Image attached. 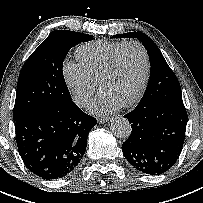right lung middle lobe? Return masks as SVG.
<instances>
[{
    "mask_svg": "<svg viewBox=\"0 0 203 203\" xmlns=\"http://www.w3.org/2000/svg\"><path fill=\"white\" fill-rule=\"evenodd\" d=\"M92 39V35L68 30H55L48 36L20 71L14 121L39 109L72 101L63 76V61L75 44Z\"/></svg>",
    "mask_w": 203,
    "mask_h": 203,
    "instance_id": "right-lung-middle-lobe-1",
    "label": "right lung middle lobe"
}]
</instances>
